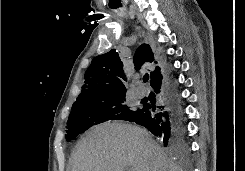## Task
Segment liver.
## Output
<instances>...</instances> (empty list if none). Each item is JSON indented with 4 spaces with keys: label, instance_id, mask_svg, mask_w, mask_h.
Returning a JSON list of instances; mask_svg holds the SVG:
<instances>
[{
    "label": "liver",
    "instance_id": "liver-1",
    "mask_svg": "<svg viewBox=\"0 0 245 171\" xmlns=\"http://www.w3.org/2000/svg\"><path fill=\"white\" fill-rule=\"evenodd\" d=\"M70 165L71 171H181L147 131L118 122L93 127Z\"/></svg>",
    "mask_w": 245,
    "mask_h": 171
}]
</instances>
